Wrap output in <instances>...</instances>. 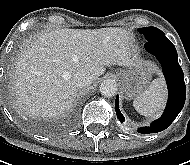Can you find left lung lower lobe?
Listing matches in <instances>:
<instances>
[{"label":"left lung lower lobe","instance_id":"1","mask_svg":"<svg viewBox=\"0 0 190 165\" xmlns=\"http://www.w3.org/2000/svg\"><path fill=\"white\" fill-rule=\"evenodd\" d=\"M148 52L155 55L159 60L162 71L168 86V102L162 116L151 123L150 126L138 129L139 133H157L168 128L179 112L182 110L185 99L184 74L178 63L175 46L167 37H160L145 44ZM115 110L120 122L124 121V116L119 109V96L115 100Z\"/></svg>","mask_w":190,"mask_h":165}]
</instances>
